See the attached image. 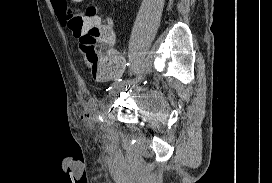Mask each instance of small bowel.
<instances>
[{
    "instance_id": "c3829d8e",
    "label": "small bowel",
    "mask_w": 272,
    "mask_h": 183,
    "mask_svg": "<svg viewBox=\"0 0 272 183\" xmlns=\"http://www.w3.org/2000/svg\"><path fill=\"white\" fill-rule=\"evenodd\" d=\"M56 15L66 24V2L65 0H51ZM119 56V55H118ZM124 71V59L119 56L118 64L115 69L105 78L94 76L97 80L109 81L118 78Z\"/></svg>"
}]
</instances>
